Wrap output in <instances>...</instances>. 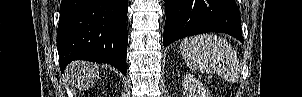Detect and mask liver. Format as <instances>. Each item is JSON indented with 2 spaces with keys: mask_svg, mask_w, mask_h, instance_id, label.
<instances>
[{
  "mask_svg": "<svg viewBox=\"0 0 302 97\" xmlns=\"http://www.w3.org/2000/svg\"><path fill=\"white\" fill-rule=\"evenodd\" d=\"M67 77L79 90H86L99 78V66L85 61H75L67 68Z\"/></svg>",
  "mask_w": 302,
  "mask_h": 97,
  "instance_id": "1",
  "label": "liver"
}]
</instances>
